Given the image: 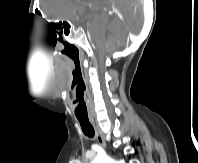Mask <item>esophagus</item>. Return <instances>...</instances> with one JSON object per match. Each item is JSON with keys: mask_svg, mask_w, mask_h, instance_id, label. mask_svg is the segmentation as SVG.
<instances>
[{"mask_svg": "<svg viewBox=\"0 0 198 163\" xmlns=\"http://www.w3.org/2000/svg\"><path fill=\"white\" fill-rule=\"evenodd\" d=\"M90 122L95 130V135H96V139L98 141V143L103 146L106 147V140H105V135L103 134V132L101 131L98 122L96 120V118L91 117L90 118Z\"/></svg>", "mask_w": 198, "mask_h": 163, "instance_id": "obj_1", "label": "esophagus"}]
</instances>
